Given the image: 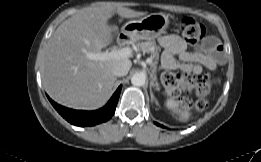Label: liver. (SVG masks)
Instances as JSON below:
<instances>
[{"instance_id":"6515ba94","label":"liver","mask_w":261,"mask_h":162,"mask_svg":"<svg viewBox=\"0 0 261 162\" xmlns=\"http://www.w3.org/2000/svg\"><path fill=\"white\" fill-rule=\"evenodd\" d=\"M117 13L123 18L145 15L106 3L86 8L62 22L50 37L42 61L43 86L56 102L74 109L94 110L107 101L115 76L114 66L129 59L91 60L113 40L116 27L108 20Z\"/></svg>"}]
</instances>
